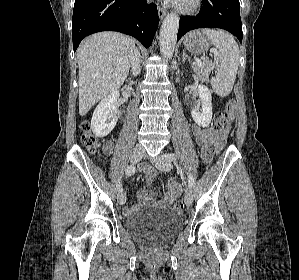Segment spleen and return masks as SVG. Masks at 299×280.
Listing matches in <instances>:
<instances>
[{
  "instance_id": "3e777b00",
  "label": "spleen",
  "mask_w": 299,
  "mask_h": 280,
  "mask_svg": "<svg viewBox=\"0 0 299 280\" xmlns=\"http://www.w3.org/2000/svg\"><path fill=\"white\" fill-rule=\"evenodd\" d=\"M202 33L218 49L220 67L216 75L211 78V86L217 95L221 97L228 96L233 89L239 65L238 44L225 31L205 29Z\"/></svg>"
}]
</instances>
